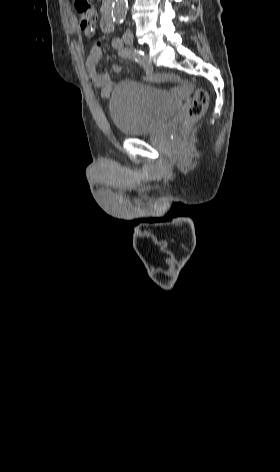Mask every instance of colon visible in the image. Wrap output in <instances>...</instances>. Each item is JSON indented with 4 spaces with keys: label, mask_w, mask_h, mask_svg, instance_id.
<instances>
[{
    "label": "colon",
    "mask_w": 280,
    "mask_h": 472,
    "mask_svg": "<svg viewBox=\"0 0 280 472\" xmlns=\"http://www.w3.org/2000/svg\"><path fill=\"white\" fill-rule=\"evenodd\" d=\"M75 9L79 16L80 27L86 34L94 31L97 12L88 0H76ZM208 106V94L203 88H197L185 114L183 130L199 120Z\"/></svg>",
    "instance_id": "5ec220e1"
}]
</instances>
